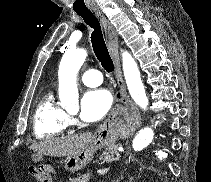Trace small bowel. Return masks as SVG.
<instances>
[{
	"label": "small bowel",
	"instance_id": "small-bowel-1",
	"mask_svg": "<svg viewBox=\"0 0 211 182\" xmlns=\"http://www.w3.org/2000/svg\"><path fill=\"white\" fill-rule=\"evenodd\" d=\"M69 182H88V175H83L80 177H72L69 179Z\"/></svg>",
	"mask_w": 211,
	"mask_h": 182
}]
</instances>
